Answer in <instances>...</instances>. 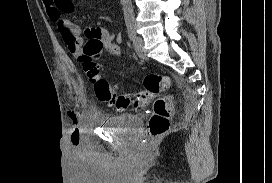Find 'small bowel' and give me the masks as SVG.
Here are the masks:
<instances>
[{
  "label": "small bowel",
  "instance_id": "small-bowel-1",
  "mask_svg": "<svg viewBox=\"0 0 272 183\" xmlns=\"http://www.w3.org/2000/svg\"><path fill=\"white\" fill-rule=\"evenodd\" d=\"M48 17L57 24L72 55L80 57L85 39L98 41L112 54L121 52L119 44L122 42L120 33H112L102 27H85L80 29L76 24L63 16V13L73 9L70 0H42Z\"/></svg>",
  "mask_w": 272,
  "mask_h": 183
}]
</instances>
